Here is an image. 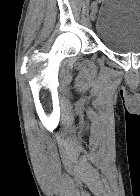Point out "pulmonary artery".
I'll use <instances>...</instances> for the list:
<instances>
[{
	"label": "pulmonary artery",
	"instance_id": "obj_1",
	"mask_svg": "<svg viewBox=\"0 0 140 196\" xmlns=\"http://www.w3.org/2000/svg\"><path fill=\"white\" fill-rule=\"evenodd\" d=\"M57 192H78V191H57Z\"/></svg>",
	"mask_w": 140,
	"mask_h": 196
}]
</instances>
